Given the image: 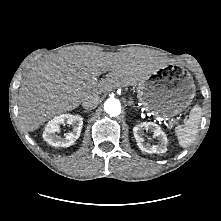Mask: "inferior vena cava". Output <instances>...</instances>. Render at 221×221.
<instances>
[{
	"mask_svg": "<svg viewBox=\"0 0 221 221\" xmlns=\"http://www.w3.org/2000/svg\"><path fill=\"white\" fill-rule=\"evenodd\" d=\"M99 99L97 94L89 95L82 101V106L87 110H92L97 107Z\"/></svg>",
	"mask_w": 221,
	"mask_h": 221,
	"instance_id": "1",
	"label": "inferior vena cava"
}]
</instances>
